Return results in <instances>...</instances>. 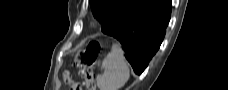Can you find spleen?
Returning a JSON list of instances; mask_svg holds the SVG:
<instances>
[{
    "label": "spleen",
    "mask_w": 228,
    "mask_h": 90,
    "mask_svg": "<svg viewBox=\"0 0 228 90\" xmlns=\"http://www.w3.org/2000/svg\"><path fill=\"white\" fill-rule=\"evenodd\" d=\"M104 72L96 76L100 90H119L130 77V71L123 50L117 44L112 45L111 52L102 62Z\"/></svg>",
    "instance_id": "spleen-1"
}]
</instances>
